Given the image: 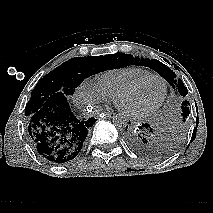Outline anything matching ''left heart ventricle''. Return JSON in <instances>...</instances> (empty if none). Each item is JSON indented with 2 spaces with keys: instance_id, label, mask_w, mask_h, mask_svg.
<instances>
[{
  "instance_id": "1",
  "label": "left heart ventricle",
  "mask_w": 213,
  "mask_h": 213,
  "mask_svg": "<svg viewBox=\"0 0 213 213\" xmlns=\"http://www.w3.org/2000/svg\"><path fill=\"white\" fill-rule=\"evenodd\" d=\"M162 94L161 81L155 78L148 79L123 100V106L129 111H141L158 103Z\"/></svg>"
}]
</instances>
